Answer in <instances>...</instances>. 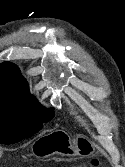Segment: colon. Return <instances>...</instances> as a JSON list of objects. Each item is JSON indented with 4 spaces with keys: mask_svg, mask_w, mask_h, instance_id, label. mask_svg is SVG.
Masks as SVG:
<instances>
[{
    "mask_svg": "<svg viewBox=\"0 0 125 167\" xmlns=\"http://www.w3.org/2000/svg\"><path fill=\"white\" fill-rule=\"evenodd\" d=\"M97 164H98L97 161H94V162H93V165H94V166H96ZM80 167H82V166H80Z\"/></svg>",
    "mask_w": 125,
    "mask_h": 167,
    "instance_id": "colon-1",
    "label": "colon"
}]
</instances>
